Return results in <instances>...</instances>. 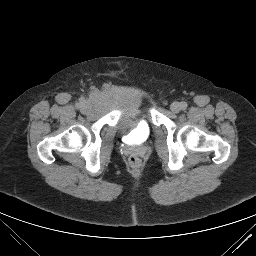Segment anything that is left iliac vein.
Returning a JSON list of instances; mask_svg holds the SVG:
<instances>
[{"label": "left iliac vein", "mask_w": 256, "mask_h": 256, "mask_svg": "<svg viewBox=\"0 0 256 256\" xmlns=\"http://www.w3.org/2000/svg\"><path fill=\"white\" fill-rule=\"evenodd\" d=\"M170 109H171L172 112L178 113V112H180V110H181V105H180V103H178V102H173V103L171 104V106H170Z\"/></svg>", "instance_id": "4c4485c4"}]
</instances>
